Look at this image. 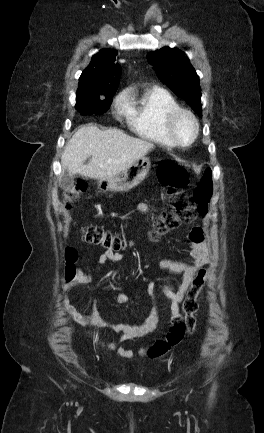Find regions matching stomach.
<instances>
[{
	"label": "stomach",
	"instance_id": "0dacf381",
	"mask_svg": "<svg viewBox=\"0 0 264 433\" xmlns=\"http://www.w3.org/2000/svg\"><path fill=\"white\" fill-rule=\"evenodd\" d=\"M151 167L148 157H142L120 175L98 182L100 192H126L139 185L147 176Z\"/></svg>",
	"mask_w": 264,
	"mask_h": 433
}]
</instances>
